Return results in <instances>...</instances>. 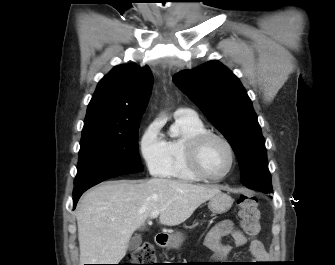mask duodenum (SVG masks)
Listing matches in <instances>:
<instances>
[{"instance_id":"duodenum-1","label":"duodenum","mask_w":335,"mask_h":265,"mask_svg":"<svg viewBox=\"0 0 335 265\" xmlns=\"http://www.w3.org/2000/svg\"><path fill=\"white\" fill-rule=\"evenodd\" d=\"M168 236L164 233H159L155 236V244L158 247H164L167 244Z\"/></svg>"}]
</instances>
